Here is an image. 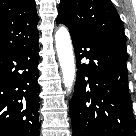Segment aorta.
Here are the masks:
<instances>
[{"label":"aorta","mask_w":136,"mask_h":136,"mask_svg":"<svg viewBox=\"0 0 136 136\" xmlns=\"http://www.w3.org/2000/svg\"><path fill=\"white\" fill-rule=\"evenodd\" d=\"M55 44L63 75V82L68 92L75 80V62L72 42L68 29L61 26L55 33Z\"/></svg>","instance_id":"obj_1"}]
</instances>
